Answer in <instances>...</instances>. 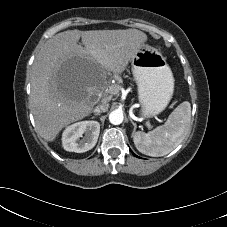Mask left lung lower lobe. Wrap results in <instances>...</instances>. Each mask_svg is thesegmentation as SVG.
<instances>
[{
    "instance_id": "obj_1",
    "label": "left lung lower lobe",
    "mask_w": 227,
    "mask_h": 227,
    "mask_svg": "<svg viewBox=\"0 0 227 227\" xmlns=\"http://www.w3.org/2000/svg\"><path fill=\"white\" fill-rule=\"evenodd\" d=\"M130 151H131V150H130ZM132 153H133V152H132ZM133 155L136 156L134 153H133ZM136 157H138V156H136Z\"/></svg>"
}]
</instances>
